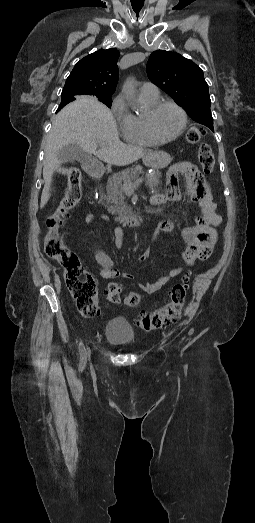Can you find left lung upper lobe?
I'll list each match as a JSON object with an SVG mask.
<instances>
[{"label":"left lung upper lobe","mask_w":255,"mask_h":523,"mask_svg":"<svg viewBox=\"0 0 255 523\" xmlns=\"http://www.w3.org/2000/svg\"><path fill=\"white\" fill-rule=\"evenodd\" d=\"M147 74L150 81L174 98L193 120L214 132L208 84L201 68L177 53L157 50L150 55Z\"/></svg>","instance_id":"obj_1"}]
</instances>
